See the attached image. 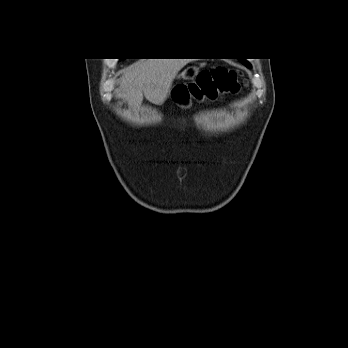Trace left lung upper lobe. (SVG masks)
<instances>
[{"label":"left lung upper lobe","instance_id":"1","mask_svg":"<svg viewBox=\"0 0 348 348\" xmlns=\"http://www.w3.org/2000/svg\"><path fill=\"white\" fill-rule=\"evenodd\" d=\"M241 63H243L245 66L250 67V64L245 59H239Z\"/></svg>","mask_w":348,"mask_h":348}]
</instances>
